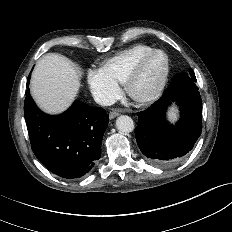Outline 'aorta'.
Segmentation results:
<instances>
[{"instance_id": "aorta-1", "label": "aorta", "mask_w": 232, "mask_h": 232, "mask_svg": "<svg viewBox=\"0 0 232 232\" xmlns=\"http://www.w3.org/2000/svg\"><path fill=\"white\" fill-rule=\"evenodd\" d=\"M116 127L123 133L132 132L134 129L133 119L127 115H121L116 120Z\"/></svg>"}]
</instances>
